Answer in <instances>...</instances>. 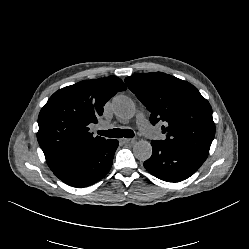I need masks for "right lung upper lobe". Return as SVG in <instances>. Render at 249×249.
Masks as SVG:
<instances>
[{
    "label": "right lung upper lobe",
    "mask_w": 249,
    "mask_h": 249,
    "mask_svg": "<svg viewBox=\"0 0 249 249\" xmlns=\"http://www.w3.org/2000/svg\"><path fill=\"white\" fill-rule=\"evenodd\" d=\"M126 89L121 79L110 76L64 87L49 98L39 114L37 139L52 171L106 141L94 137L88 125L98 123L105 103Z\"/></svg>",
    "instance_id": "obj_1"
}]
</instances>
